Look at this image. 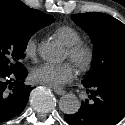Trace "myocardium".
Returning <instances> with one entry per match:
<instances>
[{"instance_id":"f54148a6","label":"myocardium","mask_w":125,"mask_h":125,"mask_svg":"<svg viewBox=\"0 0 125 125\" xmlns=\"http://www.w3.org/2000/svg\"><path fill=\"white\" fill-rule=\"evenodd\" d=\"M67 54L80 71L88 69L93 60L92 48L81 41L67 46Z\"/></svg>"}]
</instances>
